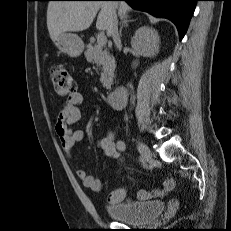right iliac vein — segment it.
<instances>
[{
    "instance_id": "1",
    "label": "right iliac vein",
    "mask_w": 231,
    "mask_h": 231,
    "mask_svg": "<svg viewBox=\"0 0 231 231\" xmlns=\"http://www.w3.org/2000/svg\"><path fill=\"white\" fill-rule=\"evenodd\" d=\"M137 147L144 160L150 161L152 159V152L145 143L138 141Z\"/></svg>"
}]
</instances>
